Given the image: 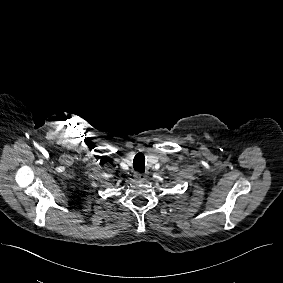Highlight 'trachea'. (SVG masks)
Instances as JSON below:
<instances>
[{
  "instance_id": "1",
  "label": "trachea",
  "mask_w": 283,
  "mask_h": 283,
  "mask_svg": "<svg viewBox=\"0 0 283 283\" xmlns=\"http://www.w3.org/2000/svg\"><path fill=\"white\" fill-rule=\"evenodd\" d=\"M133 167L138 172L143 173L145 171V157L143 153H138L134 157Z\"/></svg>"
}]
</instances>
